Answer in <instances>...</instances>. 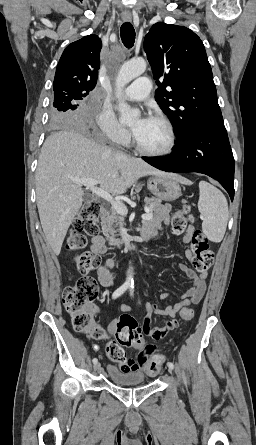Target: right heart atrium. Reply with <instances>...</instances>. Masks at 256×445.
Here are the masks:
<instances>
[{
  "label": "right heart atrium",
  "instance_id": "d8ad5b80",
  "mask_svg": "<svg viewBox=\"0 0 256 445\" xmlns=\"http://www.w3.org/2000/svg\"><path fill=\"white\" fill-rule=\"evenodd\" d=\"M100 133L113 144H125L129 139L128 131L120 124L113 111L105 106L100 107L95 115Z\"/></svg>",
  "mask_w": 256,
  "mask_h": 445
}]
</instances>
